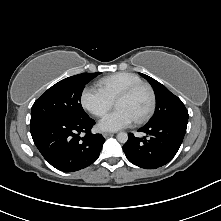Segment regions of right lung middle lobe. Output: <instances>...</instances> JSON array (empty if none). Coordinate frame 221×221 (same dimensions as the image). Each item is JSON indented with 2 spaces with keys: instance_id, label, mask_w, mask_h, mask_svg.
<instances>
[{
  "instance_id": "1",
  "label": "right lung middle lobe",
  "mask_w": 221,
  "mask_h": 221,
  "mask_svg": "<svg viewBox=\"0 0 221 221\" xmlns=\"http://www.w3.org/2000/svg\"><path fill=\"white\" fill-rule=\"evenodd\" d=\"M100 73H83L65 78L50 87L31 109V121L44 117H73L87 116L80 100L85 85Z\"/></svg>"
}]
</instances>
